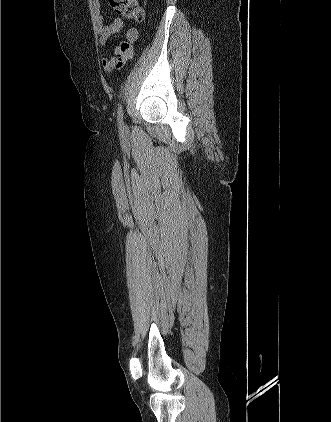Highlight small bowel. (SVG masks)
Returning a JSON list of instances; mask_svg holds the SVG:
<instances>
[{
  "label": "small bowel",
  "mask_w": 331,
  "mask_h": 422,
  "mask_svg": "<svg viewBox=\"0 0 331 422\" xmlns=\"http://www.w3.org/2000/svg\"><path fill=\"white\" fill-rule=\"evenodd\" d=\"M92 7L95 12L94 20L96 26V32L98 34V43L100 47H104L107 43L108 38L121 31L124 27V23L121 19L117 18L113 20L111 24L106 25L104 18L100 13L101 2L100 0H91ZM138 38V31L135 28H130L125 34L124 40L116 44L112 49V56L102 57V66L105 71L112 74L115 71L120 70L128 59L134 56V43Z\"/></svg>",
  "instance_id": "small-bowel-1"
}]
</instances>
